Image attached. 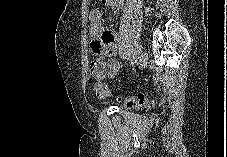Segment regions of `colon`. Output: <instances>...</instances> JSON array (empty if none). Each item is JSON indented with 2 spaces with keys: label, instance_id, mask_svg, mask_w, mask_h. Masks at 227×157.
<instances>
[{
  "label": "colon",
  "instance_id": "colon-1",
  "mask_svg": "<svg viewBox=\"0 0 227 157\" xmlns=\"http://www.w3.org/2000/svg\"><path fill=\"white\" fill-rule=\"evenodd\" d=\"M104 70H105V63L101 57H97L91 62L90 71L94 76H97V77L102 76L104 73ZM94 90H95L96 96L100 99H106L110 95L109 86L106 82H103V81L97 82L95 84ZM119 100L123 101V103L128 108L143 107V106L152 104L154 101L152 97L142 93H139L136 96H130Z\"/></svg>",
  "mask_w": 227,
  "mask_h": 157
}]
</instances>
